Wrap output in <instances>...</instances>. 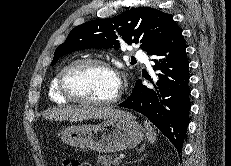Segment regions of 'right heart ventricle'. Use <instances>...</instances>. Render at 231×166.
<instances>
[{
    "label": "right heart ventricle",
    "mask_w": 231,
    "mask_h": 166,
    "mask_svg": "<svg viewBox=\"0 0 231 166\" xmlns=\"http://www.w3.org/2000/svg\"><path fill=\"white\" fill-rule=\"evenodd\" d=\"M61 71H59L54 78L52 79L50 86H49V98L51 101L55 103H64L67 101L58 90V77Z\"/></svg>",
    "instance_id": "right-heart-ventricle-1"
}]
</instances>
